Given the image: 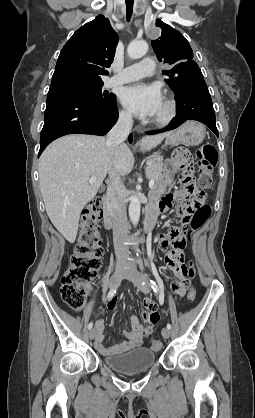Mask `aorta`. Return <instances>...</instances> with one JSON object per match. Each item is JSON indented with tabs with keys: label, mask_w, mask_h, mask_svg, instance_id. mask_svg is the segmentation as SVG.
I'll return each instance as SVG.
<instances>
[{
	"label": "aorta",
	"mask_w": 255,
	"mask_h": 418,
	"mask_svg": "<svg viewBox=\"0 0 255 418\" xmlns=\"http://www.w3.org/2000/svg\"><path fill=\"white\" fill-rule=\"evenodd\" d=\"M148 51V44L145 41H133L128 45L127 53L132 59L143 57ZM140 200L134 195L130 199L129 216L132 224L137 226L140 218Z\"/></svg>",
	"instance_id": "aorta-1"
}]
</instances>
